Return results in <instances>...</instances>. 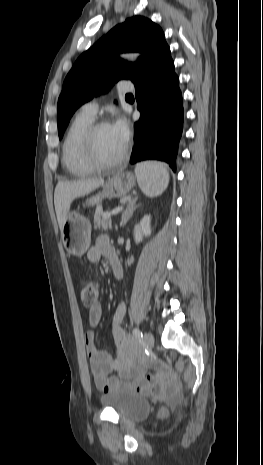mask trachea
Masks as SVG:
<instances>
[{"label": "trachea", "mask_w": 263, "mask_h": 465, "mask_svg": "<svg viewBox=\"0 0 263 465\" xmlns=\"http://www.w3.org/2000/svg\"><path fill=\"white\" fill-rule=\"evenodd\" d=\"M126 97H133V95L132 94H127Z\"/></svg>", "instance_id": "3493384b"}]
</instances>
